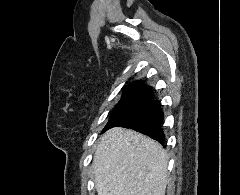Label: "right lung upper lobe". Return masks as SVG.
I'll return each mask as SVG.
<instances>
[{
	"label": "right lung upper lobe",
	"instance_id": "obj_1",
	"mask_svg": "<svg viewBox=\"0 0 240 195\" xmlns=\"http://www.w3.org/2000/svg\"><path fill=\"white\" fill-rule=\"evenodd\" d=\"M151 92V87L145 86L141 81L138 80L126 88L123 95H149Z\"/></svg>",
	"mask_w": 240,
	"mask_h": 195
}]
</instances>
